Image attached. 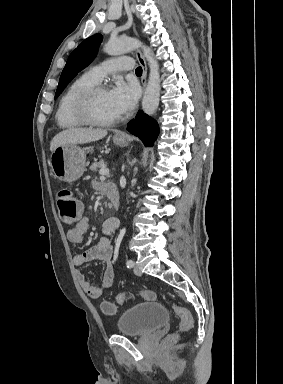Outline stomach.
Segmentation results:
<instances>
[{"label": "stomach", "instance_id": "1", "mask_svg": "<svg viewBox=\"0 0 283 384\" xmlns=\"http://www.w3.org/2000/svg\"><path fill=\"white\" fill-rule=\"evenodd\" d=\"M130 138H117L113 142L116 146H127ZM86 152L85 148H79L76 144H65L55 148L50 156L51 170L61 182H76L85 172Z\"/></svg>", "mask_w": 283, "mask_h": 384}]
</instances>
